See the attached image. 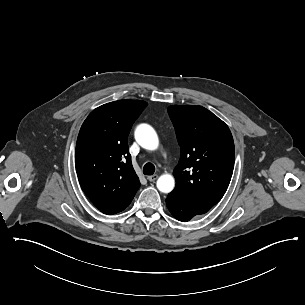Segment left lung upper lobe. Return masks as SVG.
I'll return each instance as SVG.
<instances>
[{
    "label": "left lung upper lobe",
    "mask_w": 305,
    "mask_h": 305,
    "mask_svg": "<svg viewBox=\"0 0 305 305\" xmlns=\"http://www.w3.org/2000/svg\"><path fill=\"white\" fill-rule=\"evenodd\" d=\"M168 113L181 148L171 194L186 204L211 208L222 199L232 177V134L221 119L201 106L173 105Z\"/></svg>",
    "instance_id": "5c2ea615"
}]
</instances>
